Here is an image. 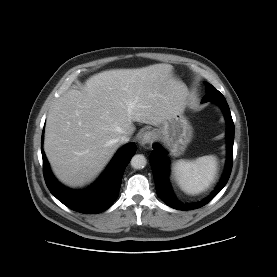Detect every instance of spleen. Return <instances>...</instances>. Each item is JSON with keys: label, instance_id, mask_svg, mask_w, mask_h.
<instances>
[{"label": "spleen", "instance_id": "1", "mask_svg": "<svg viewBox=\"0 0 277 277\" xmlns=\"http://www.w3.org/2000/svg\"><path fill=\"white\" fill-rule=\"evenodd\" d=\"M217 158L206 155L195 160L174 163V176L180 188L188 194H199L213 183L217 173Z\"/></svg>", "mask_w": 277, "mask_h": 277}]
</instances>
